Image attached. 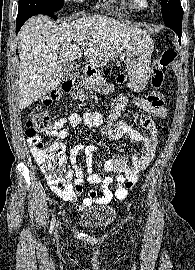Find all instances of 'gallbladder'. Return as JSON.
I'll return each instance as SVG.
<instances>
[{
  "instance_id": "1",
  "label": "gallbladder",
  "mask_w": 195,
  "mask_h": 270,
  "mask_svg": "<svg viewBox=\"0 0 195 270\" xmlns=\"http://www.w3.org/2000/svg\"><path fill=\"white\" fill-rule=\"evenodd\" d=\"M63 81L74 79L80 74V69L76 63H62Z\"/></svg>"
}]
</instances>
